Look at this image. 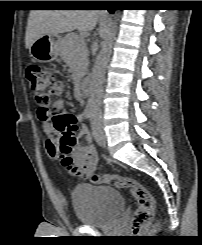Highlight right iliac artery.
Instances as JSON below:
<instances>
[{"instance_id":"1","label":"right iliac artery","mask_w":202,"mask_h":245,"mask_svg":"<svg viewBox=\"0 0 202 245\" xmlns=\"http://www.w3.org/2000/svg\"><path fill=\"white\" fill-rule=\"evenodd\" d=\"M93 111H94V105L89 103L86 106V109H85V112H84L85 118L92 120L93 119Z\"/></svg>"}]
</instances>
